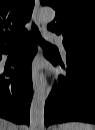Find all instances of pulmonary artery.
Here are the masks:
<instances>
[{"mask_svg":"<svg viewBox=\"0 0 95 130\" xmlns=\"http://www.w3.org/2000/svg\"><path fill=\"white\" fill-rule=\"evenodd\" d=\"M45 37L47 40H49L50 42L57 44L60 46L61 48V52L62 55L65 57L66 56V50L62 44V38L60 36H57L55 33L53 32H46L45 33Z\"/></svg>","mask_w":95,"mask_h":130,"instance_id":"obj_1","label":"pulmonary artery"}]
</instances>
